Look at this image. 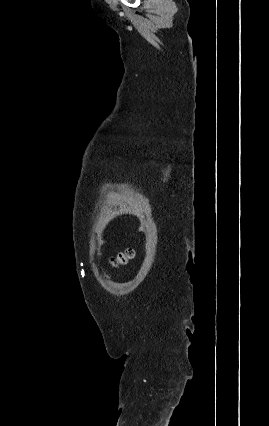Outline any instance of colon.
<instances>
[{
	"mask_svg": "<svg viewBox=\"0 0 269 426\" xmlns=\"http://www.w3.org/2000/svg\"><path fill=\"white\" fill-rule=\"evenodd\" d=\"M135 258V251L133 249H127L124 252L118 254L116 257L112 258V264L117 265H126Z\"/></svg>",
	"mask_w": 269,
	"mask_h": 426,
	"instance_id": "1",
	"label": "colon"
}]
</instances>
